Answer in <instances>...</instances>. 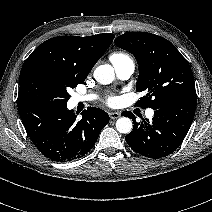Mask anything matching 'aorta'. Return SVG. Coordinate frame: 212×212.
Segmentation results:
<instances>
[{"mask_svg":"<svg viewBox=\"0 0 212 212\" xmlns=\"http://www.w3.org/2000/svg\"><path fill=\"white\" fill-rule=\"evenodd\" d=\"M94 78L100 84H110L114 79V70L111 65H100L94 71ZM132 121L128 117H121L116 121V129L120 133L128 134L132 130Z\"/></svg>","mask_w":212,"mask_h":212,"instance_id":"1","label":"aorta"}]
</instances>
